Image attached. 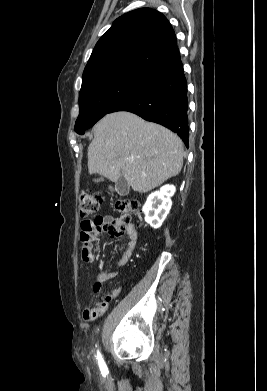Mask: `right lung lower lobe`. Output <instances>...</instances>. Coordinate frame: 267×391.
Masks as SVG:
<instances>
[{"instance_id": "98d812e1", "label": "right lung lower lobe", "mask_w": 267, "mask_h": 391, "mask_svg": "<svg viewBox=\"0 0 267 391\" xmlns=\"http://www.w3.org/2000/svg\"><path fill=\"white\" fill-rule=\"evenodd\" d=\"M187 82L180 58L153 70L133 93L109 113L129 111L177 133L188 147Z\"/></svg>"}]
</instances>
